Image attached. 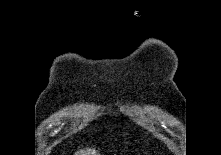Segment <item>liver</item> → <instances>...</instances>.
I'll return each mask as SVG.
<instances>
[{
	"label": "liver",
	"instance_id": "liver-1",
	"mask_svg": "<svg viewBox=\"0 0 221 155\" xmlns=\"http://www.w3.org/2000/svg\"><path fill=\"white\" fill-rule=\"evenodd\" d=\"M97 152L93 148H86L83 150H79L76 152L75 155H96Z\"/></svg>",
	"mask_w": 221,
	"mask_h": 155
}]
</instances>
